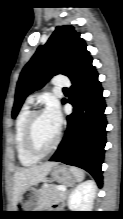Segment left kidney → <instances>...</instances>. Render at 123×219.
Returning <instances> with one entry per match:
<instances>
[{"instance_id":"1","label":"left kidney","mask_w":123,"mask_h":219,"mask_svg":"<svg viewBox=\"0 0 123 219\" xmlns=\"http://www.w3.org/2000/svg\"><path fill=\"white\" fill-rule=\"evenodd\" d=\"M96 183L87 180L74 188L68 197V206L72 211H91L96 196Z\"/></svg>"}]
</instances>
